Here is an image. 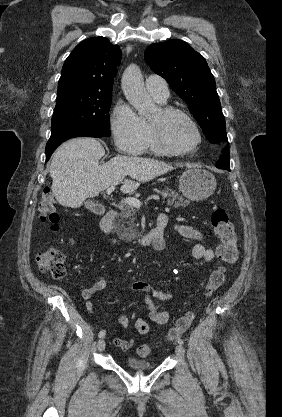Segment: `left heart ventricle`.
<instances>
[{"instance_id": "1", "label": "left heart ventricle", "mask_w": 282, "mask_h": 417, "mask_svg": "<svg viewBox=\"0 0 282 417\" xmlns=\"http://www.w3.org/2000/svg\"><path fill=\"white\" fill-rule=\"evenodd\" d=\"M149 121L160 128L166 141L176 147H186L195 141L194 133L188 124L180 117H163L157 109Z\"/></svg>"}]
</instances>
